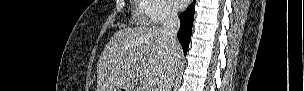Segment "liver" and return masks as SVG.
I'll use <instances>...</instances> for the list:
<instances>
[{
    "label": "liver",
    "instance_id": "obj_1",
    "mask_svg": "<svg viewBox=\"0 0 304 91\" xmlns=\"http://www.w3.org/2000/svg\"><path fill=\"white\" fill-rule=\"evenodd\" d=\"M170 42L158 26L126 28L106 44L97 64V91H121L135 77H154L171 61ZM181 59V50L179 51Z\"/></svg>",
    "mask_w": 304,
    "mask_h": 91
}]
</instances>
